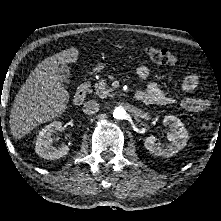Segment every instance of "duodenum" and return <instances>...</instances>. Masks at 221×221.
Returning <instances> with one entry per match:
<instances>
[{"instance_id":"410a0bca","label":"duodenum","mask_w":221,"mask_h":221,"mask_svg":"<svg viewBox=\"0 0 221 221\" xmlns=\"http://www.w3.org/2000/svg\"><path fill=\"white\" fill-rule=\"evenodd\" d=\"M88 83H89L88 79H84L80 83V85H79V87H78V89H77V91H76V93L74 95V99H73V102H74L75 105H81L84 102V100H85V98L87 96ZM137 94L138 93H136L135 96Z\"/></svg>"}]
</instances>
